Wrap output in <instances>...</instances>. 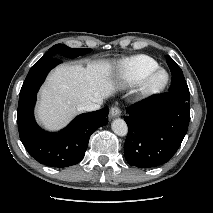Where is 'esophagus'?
I'll return each mask as SVG.
<instances>
[{
	"label": "esophagus",
	"instance_id": "obj_1",
	"mask_svg": "<svg viewBox=\"0 0 213 213\" xmlns=\"http://www.w3.org/2000/svg\"><path fill=\"white\" fill-rule=\"evenodd\" d=\"M121 115V110L119 107L114 106L110 109V118H115V117H119Z\"/></svg>",
	"mask_w": 213,
	"mask_h": 213
}]
</instances>
